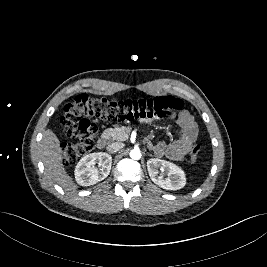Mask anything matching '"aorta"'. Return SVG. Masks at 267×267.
Returning <instances> with one entry per match:
<instances>
[{"instance_id":"1","label":"aorta","mask_w":267,"mask_h":267,"mask_svg":"<svg viewBox=\"0 0 267 267\" xmlns=\"http://www.w3.org/2000/svg\"><path fill=\"white\" fill-rule=\"evenodd\" d=\"M142 154L139 149H133L130 151V157L133 160H139L141 158Z\"/></svg>"}]
</instances>
